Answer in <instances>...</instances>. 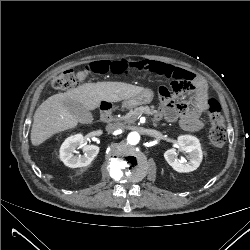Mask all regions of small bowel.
Wrapping results in <instances>:
<instances>
[{
	"mask_svg": "<svg viewBox=\"0 0 250 250\" xmlns=\"http://www.w3.org/2000/svg\"><path fill=\"white\" fill-rule=\"evenodd\" d=\"M134 64L136 68L141 70L171 78L180 77L184 81L181 92L192 91L195 94V98L192 101L175 102L172 98V90L163 87L160 90L162 102L159 113L170 122L179 121L181 126L188 131H200L205 127L206 120L204 114L208 96L207 85L204 80L181 67L160 61L141 59ZM78 78L81 81L85 80L86 74L80 71Z\"/></svg>",
	"mask_w": 250,
	"mask_h": 250,
	"instance_id": "1",
	"label": "small bowel"
}]
</instances>
